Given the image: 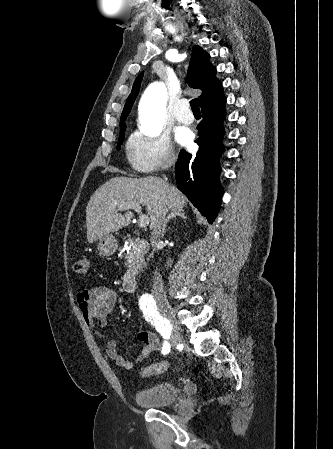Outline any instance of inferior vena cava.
Listing matches in <instances>:
<instances>
[{
  "label": "inferior vena cava",
  "instance_id": "obj_1",
  "mask_svg": "<svg viewBox=\"0 0 333 449\" xmlns=\"http://www.w3.org/2000/svg\"><path fill=\"white\" fill-rule=\"evenodd\" d=\"M174 162H175V159H172L169 162V166H171ZM163 184H164V188H167L168 183L166 182V180L163 181ZM167 211H168V208L164 205L159 209V211L156 214V218L154 220V226H153L154 230L151 234V244L154 249L156 248V246L158 244V240H159L160 233H161V225L163 223V220H165ZM155 274H156V276L154 277V280H153L152 293L156 300L164 302V301H166V297H165V293H164L163 282L157 276V272H155Z\"/></svg>",
  "mask_w": 333,
  "mask_h": 449
}]
</instances>
